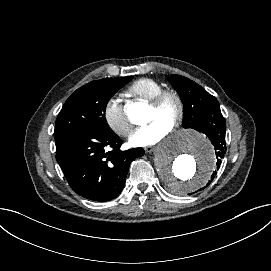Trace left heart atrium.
Returning <instances> with one entry per match:
<instances>
[{
	"label": "left heart atrium",
	"instance_id": "1",
	"mask_svg": "<svg viewBox=\"0 0 271 271\" xmlns=\"http://www.w3.org/2000/svg\"><path fill=\"white\" fill-rule=\"evenodd\" d=\"M171 132V126L161 120H155L148 123L146 126L136 128L129 135V143L135 147H150L153 146Z\"/></svg>",
	"mask_w": 271,
	"mask_h": 271
}]
</instances>
